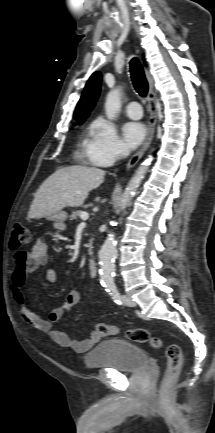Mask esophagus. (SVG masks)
I'll use <instances>...</instances> for the list:
<instances>
[{"label": "esophagus", "mask_w": 215, "mask_h": 433, "mask_svg": "<svg viewBox=\"0 0 215 433\" xmlns=\"http://www.w3.org/2000/svg\"><path fill=\"white\" fill-rule=\"evenodd\" d=\"M145 73H146V78H147V81L149 84L148 100H149V106H150V118H149V123H148V131H147V136H146V139H145L142 147L129 159V161L127 163V169L128 170L131 169L132 167H134L138 163V161L142 158L145 151L147 150V148L151 144L152 139L154 137L155 126H156V121H157L154 81H153V78H152V76L148 70H146Z\"/></svg>", "instance_id": "obj_1"}]
</instances>
